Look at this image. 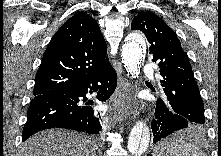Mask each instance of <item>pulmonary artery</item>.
I'll use <instances>...</instances> for the list:
<instances>
[{
  "mask_svg": "<svg viewBox=\"0 0 221 156\" xmlns=\"http://www.w3.org/2000/svg\"><path fill=\"white\" fill-rule=\"evenodd\" d=\"M153 72V69L150 65H145L144 67V73L145 74H151Z\"/></svg>",
  "mask_w": 221,
  "mask_h": 156,
  "instance_id": "obj_1",
  "label": "pulmonary artery"
}]
</instances>
